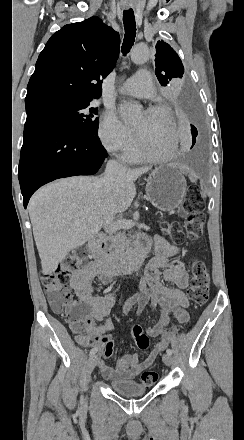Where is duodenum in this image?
<instances>
[{
    "label": "duodenum",
    "mask_w": 244,
    "mask_h": 440,
    "mask_svg": "<svg viewBox=\"0 0 244 440\" xmlns=\"http://www.w3.org/2000/svg\"><path fill=\"white\" fill-rule=\"evenodd\" d=\"M106 242L102 235H95L87 243V251L90 257L98 262L103 270L112 276L122 273H135L144 263L148 252V246L142 240L136 252L115 258L103 254Z\"/></svg>",
    "instance_id": "410a0bca"
}]
</instances>
